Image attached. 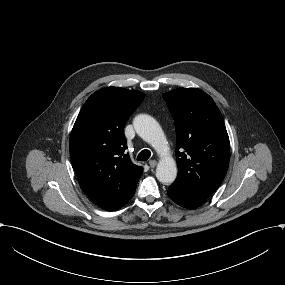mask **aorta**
Returning <instances> with one entry per match:
<instances>
[{
  "label": "aorta",
  "instance_id": "1",
  "mask_svg": "<svg viewBox=\"0 0 285 285\" xmlns=\"http://www.w3.org/2000/svg\"><path fill=\"white\" fill-rule=\"evenodd\" d=\"M136 133L149 143L160 155L161 159L156 168V177L162 183H173L177 176V166L170 156L166 137L158 124L151 116L137 115L133 120Z\"/></svg>",
  "mask_w": 285,
  "mask_h": 285
}]
</instances>
